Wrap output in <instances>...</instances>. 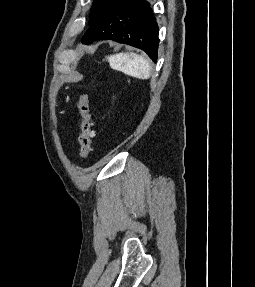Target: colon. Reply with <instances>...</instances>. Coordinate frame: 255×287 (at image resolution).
Returning a JSON list of instances; mask_svg holds the SVG:
<instances>
[{
	"instance_id": "5ec220e1",
	"label": "colon",
	"mask_w": 255,
	"mask_h": 287,
	"mask_svg": "<svg viewBox=\"0 0 255 287\" xmlns=\"http://www.w3.org/2000/svg\"><path fill=\"white\" fill-rule=\"evenodd\" d=\"M78 109L81 116L79 134L80 156L83 160H86L91 153L92 138L94 136L89 96L87 94L80 96L78 100Z\"/></svg>"
}]
</instances>
